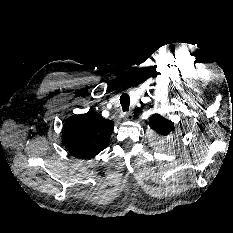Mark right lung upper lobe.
<instances>
[{
	"label": "right lung upper lobe",
	"mask_w": 233,
	"mask_h": 233,
	"mask_svg": "<svg viewBox=\"0 0 233 233\" xmlns=\"http://www.w3.org/2000/svg\"><path fill=\"white\" fill-rule=\"evenodd\" d=\"M113 129L112 121L96 113L75 115L63 126V144L77 158L90 159L107 147Z\"/></svg>",
	"instance_id": "cb5924a9"
}]
</instances>
